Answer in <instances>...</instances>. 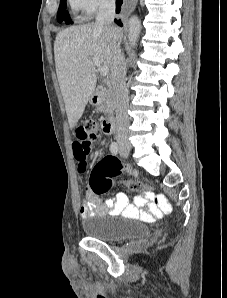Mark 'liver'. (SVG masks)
<instances>
[{
  "label": "liver",
  "instance_id": "liver-1",
  "mask_svg": "<svg viewBox=\"0 0 227 298\" xmlns=\"http://www.w3.org/2000/svg\"><path fill=\"white\" fill-rule=\"evenodd\" d=\"M121 39L119 28L106 30L95 23L72 26L57 34L54 42L56 73L70 128L81 118L95 90L96 68L92 58H98L102 66L111 68L114 47Z\"/></svg>",
  "mask_w": 227,
  "mask_h": 298
}]
</instances>
